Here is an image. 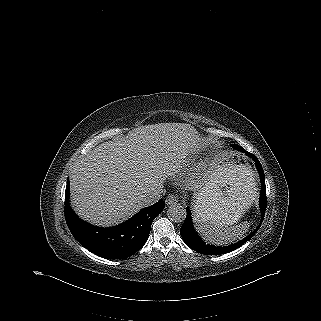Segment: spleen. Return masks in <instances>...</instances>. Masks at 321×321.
I'll return each mask as SVG.
<instances>
[{
  "label": "spleen",
  "mask_w": 321,
  "mask_h": 321,
  "mask_svg": "<svg viewBox=\"0 0 321 321\" xmlns=\"http://www.w3.org/2000/svg\"><path fill=\"white\" fill-rule=\"evenodd\" d=\"M198 232L209 243L226 245L235 242L246 234L250 228V222L244 221L236 226H229L217 213H208L200 217H194Z\"/></svg>",
  "instance_id": "obj_1"
}]
</instances>
